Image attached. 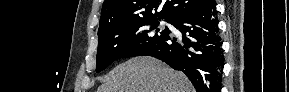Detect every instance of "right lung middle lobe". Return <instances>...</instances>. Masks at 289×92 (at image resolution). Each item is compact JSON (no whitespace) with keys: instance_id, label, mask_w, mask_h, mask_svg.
Wrapping results in <instances>:
<instances>
[{"instance_id":"obj_1","label":"right lung middle lobe","mask_w":289,"mask_h":92,"mask_svg":"<svg viewBox=\"0 0 289 92\" xmlns=\"http://www.w3.org/2000/svg\"><path fill=\"white\" fill-rule=\"evenodd\" d=\"M158 24L157 18L138 19L119 22L99 31L96 71L104 70L116 59L137 56L143 49L166 38L169 29L161 31Z\"/></svg>"}]
</instances>
